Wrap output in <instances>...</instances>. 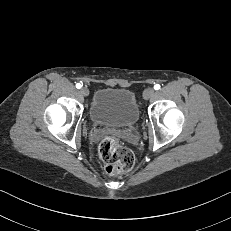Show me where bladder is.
I'll list each match as a JSON object with an SVG mask.
<instances>
[{
    "instance_id": "obj_1",
    "label": "bladder",
    "mask_w": 231,
    "mask_h": 231,
    "mask_svg": "<svg viewBox=\"0 0 231 231\" xmlns=\"http://www.w3.org/2000/svg\"><path fill=\"white\" fill-rule=\"evenodd\" d=\"M139 116L135 94L127 88L97 90L89 108V117L97 125L130 128L138 122Z\"/></svg>"
}]
</instances>
